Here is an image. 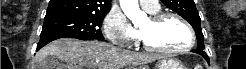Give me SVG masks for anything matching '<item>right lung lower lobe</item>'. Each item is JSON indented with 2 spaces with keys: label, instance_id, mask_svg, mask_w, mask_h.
Instances as JSON below:
<instances>
[{
  "label": "right lung lower lobe",
  "instance_id": "1",
  "mask_svg": "<svg viewBox=\"0 0 246 69\" xmlns=\"http://www.w3.org/2000/svg\"><path fill=\"white\" fill-rule=\"evenodd\" d=\"M59 38H62V37H43V38H40V41L37 44V50L41 49L43 46H45L49 42L56 40V39H59Z\"/></svg>",
  "mask_w": 246,
  "mask_h": 69
}]
</instances>
